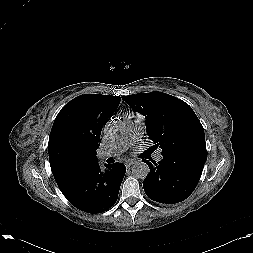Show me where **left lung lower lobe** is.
I'll return each mask as SVG.
<instances>
[{"label": "left lung lower lobe", "instance_id": "left-lung-lower-lobe-1", "mask_svg": "<svg viewBox=\"0 0 253 253\" xmlns=\"http://www.w3.org/2000/svg\"><path fill=\"white\" fill-rule=\"evenodd\" d=\"M207 158L195 152L163 154V159L143 160L150 173L143 182L146 195L160 203H178L185 200L196 188Z\"/></svg>", "mask_w": 253, "mask_h": 253}]
</instances>
